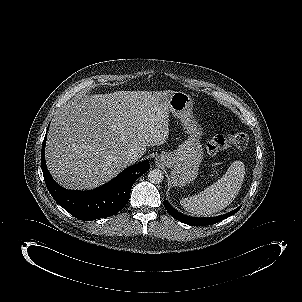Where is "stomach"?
I'll use <instances>...</instances> for the list:
<instances>
[{
	"label": "stomach",
	"mask_w": 302,
	"mask_h": 302,
	"mask_svg": "<svg viewBox=\"0 0 302 302\" xmlns=\"http://www.w3.org/2000/svg\"><path fill=\"white\" fill-rule=\"evenodd\" d=\"M193 99L182 91L174 92L169 99V112L181 120L187 140L171 152L161 153L157 161L171 170L170 178L174 186L183 187L198 176L199 166L204 158L200 143L202 129L192 114Z\"/></svg>",
	"instance_id": "stomach-1"
}]
</instances>
